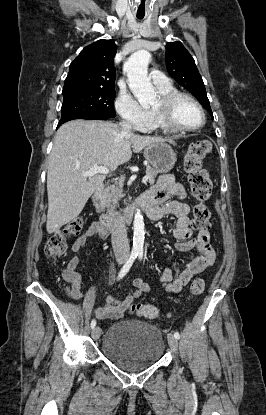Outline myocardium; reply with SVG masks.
<instances>
[{"instance_id": "1", "label": "myocardium", "mask_w": 266, "mask_h": 415, "mask_svg": "<svg viewBox=\"0 0 266 415\" xmlns=\"http://www.w3.org/2000/svg\"><path fill=\"white\" fill-rule=\"evenodd\" d=\"M182 98L188 99L198 108L202 117L201 123L199 125L193 127H185L179 125L175 121L173 115L174 107L176 102ZM153 110L159 122L166 129L173 132H193L202 128L206 123V113L201 103L194 96L178 90L161 94L158 100V104L153 107Z\"/></svg>"}]
</instances>
